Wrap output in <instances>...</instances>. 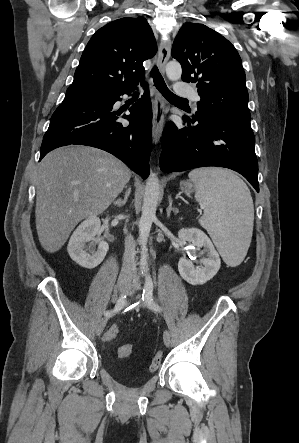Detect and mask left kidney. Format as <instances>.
<instances>
[{"label": "left kidney", "instance_id": "5707ae66", "mask_svg": "<svg viewBox=\"0 0 299 443\" xmlns=\"http://www.w3.org/2000/svg\"><path fill=\"white\" fill-rule=\"evenodd\" d=\"M178 237L183 242L188 241L198 248L203 247L206 253V258L201 260L203 266L198 268H194L189 260L180 258L178 271L181 277L192 285H202L212 279L218 272L221 261L209 237L197 228L181 229Z\"/></svg>", "mask_w": 299, "mask_h": 443}]
</instances>
